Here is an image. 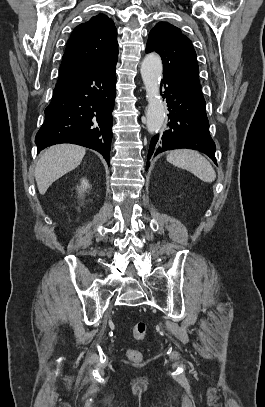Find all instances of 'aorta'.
Listing matches in <instances>:
<instances>
[{"mask_svg": "<svg viewBox=\"0 0 265 407\" xmlns=\"http://www.w3.org/2000/svg\"><path fill=\"white\" fill-rule=\"evenodd\" d=\"M162 60L156 53L145 56L141 65V76L146 90L147 129L153 133L161 129L165 120V106L159 95V81L162 76Z\"/></svg>", "mask_w": 265, "mask_h": 407, "instance_id": "obj_1", "label": "aorta"}]
</instances>
